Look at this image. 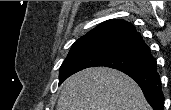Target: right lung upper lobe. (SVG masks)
Returning <instances> with one entry per match:
<instances>
[{"mask_svg":"<svg viewBox=\"0 0 171 110\" xmlns=\"http://www.w3.org/2000/svg\"><path fill=\"white\" fill-rule=\"evenodd\" d=\"M93 42L123 46L151 56L150 49L140 34L131 23L124 20H108L101 23L83 37L79 38L72 47Z\"/></svg>","mask_w":171,"mask_h":110,"instance_id":"obj_1","label":"right lung upper lobe"}]
</instances>
